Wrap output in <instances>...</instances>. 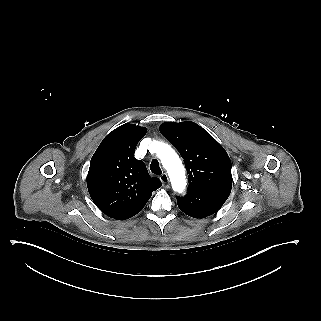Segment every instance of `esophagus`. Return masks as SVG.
Instances as JSON below:
<instances>
[{
	"label": "esophagus",
	"instance_id": "esophagus-1",
	"mask_svg": "<svg viewBox=\"0 0 321 321\" xmlns=\"http://www.w3.org/2000/svg\"><path fill=\"white\" fill-rule=\"evenodd\" d=\"M160 180L163 183V186L166 187L168 185V182H169V176L167 175V173H163L160 176Z\"/></svg>",
	"mask_w": 321,
	"mask_h": 321
}]
</instances>
